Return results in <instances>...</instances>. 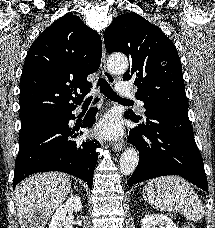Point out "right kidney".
Returning <instances> with one entry per match:
<instances>
[{"label":"right kidney","instance_id":"ca27d5eb","mask_svg":"<svg viewBox=\"0 0 215 228\" xmlns=\"http://www.w3.org/2000/svg\"><path fill=\"white\" fill-rule=\"evenodd\" d=\"M82 208L83 206L79 196H70L65 204L58 206L54 216H52L49 228H71V224H69L67 218V212H81Z\"/></svg>","mask_w":215,"mask_h":228}]
</instances>
